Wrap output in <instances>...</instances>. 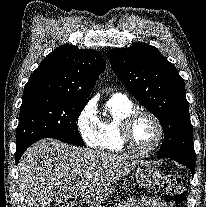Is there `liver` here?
Here are the masks:
<instances>
[{"instance_id":"obj_1","label":"liver","mask_w":206,"mask_h":207,"mask_svg":"<svg viewBox=\"0 0 206 207\" xmlns=\"http://www.w3.org/2000/svg\"><path fill=\"white\" fill-rule=\"evenodd\" d=\"M138 163L128 156L42 139L18 163L23 207H50L53 201L66 203L79 196L89 207H101L111 194L110 187Z\"/></svg>"}]
</instances>
